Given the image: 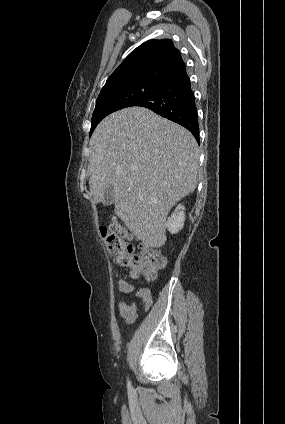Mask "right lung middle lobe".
Segmentation results:
<instances>
[{
    "label": "right lung middle lobe",
    "instance_id": "dd1d6c3e",
    "mask_svg": "<svg viewBox=\"0 0 285 424\" xmlns=\"http://www.w3.org/2000/svg\"><path fill=\"white\" fill-rule=\"evenodd\" d=\"M163 84L157 81H141L102 90L96 100L89 135L91 136L98 123L105 116L129 107L136 100L155 92Z\"/></svg>",
    "mask_w": 285,
    "mask_h": 424
}]
</instances>
